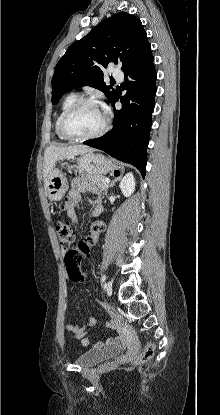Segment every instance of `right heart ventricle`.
<instances>
[{
	"instance_id": "obj_1",
	"label": "right heart ventricle",
	"mask_w": 220,
	"mask_h": 415,
	"mask_svg": "<svg viewBox=\"0 0 220 415\" xmlns=\"http://www.w3.org/2000/svg\"><path fill=\"white\" fill-rule=\"evenodd\" d=\"M79 99V95L77 94V93H71V94H69V95H67L65 98H64V100L62 101V103H61V107H60V110H59V112H58V115H57V117H56V119H55V123H54V129H55V133H56V135H57V137L59 138V139H62V140H68L67 138H65L62 134H61V132H60V129H59V124H60V120H61V117H62V115L64 114V112L72 105V104H74L77 100Z\"/></svg>"
}]
</instances>
